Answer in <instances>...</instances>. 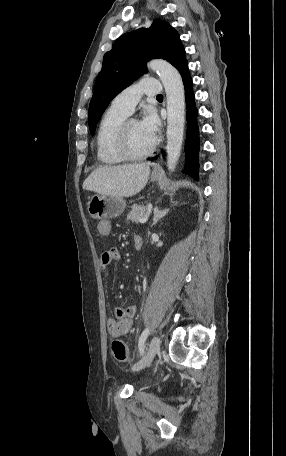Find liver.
Listing matches in <instances>:
<instances>
[{"label": "liver", "instance_id": "liver-1", "mask_svg": "<svg viewBox=\"0 0 286 456\" xmlns=\"http://www.w3.org/2000/svg\"><path fill=\"white\" fill-rule=\"evenodd\" d=\"M150 167L147 163L102 166L94 169L83 182V189L101 195L131 197L147 184Z\"/></svg>", "mask_w": 286, "mask_h": 456}]
</instances>
